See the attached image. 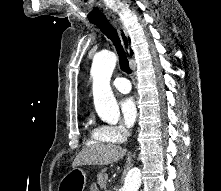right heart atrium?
<instances>
[{
    "mask_svg": "<svg viewBox=\"0 0 221 191\" xmlns=\"http://www.w3.org/2000/svg\"><path fill=\"white\" fill-rule=\"evenodd\" d=\"M129 135L122 125H103L97 128L96 136L108 142L123 143Z\"/></svg>",
    "mask_w": 221,
    "mask_h": 191,
    "instance_id": "obj_1",
    "label": "right heart atrium"
}]
</instances>
